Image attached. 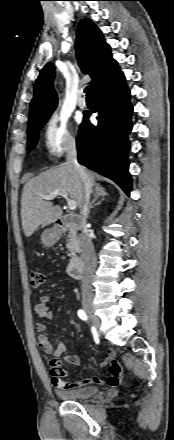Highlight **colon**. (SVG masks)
Returning a JSON list of instances; mask_svg holds the SVG:
<instances>
[{
	"label": "colon",
	"mask_w": 174,
	"mask_h": 440,
	"mask_svg": "<svg viewBox=\"0 0 174 440\" xmlns=\"http://www.w3.org/2000/svg\"><path fill=\"white\" fill-rule=\"evenodd\" d=\"M45 276L41 270L34 269L30 272V284L32 287H39L44 283Z\"/></svg>",
	"instance_id": "5ec220e1"
}]
</instances>
